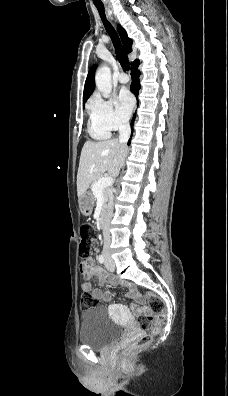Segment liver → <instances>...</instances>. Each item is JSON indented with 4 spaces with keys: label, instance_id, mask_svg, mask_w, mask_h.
<instances>
[{
    "label": "liver",
    "instance_id": "liver-1",
    "mask_svg": "<svg viewBox=\"0 0 228 396\" xmlns=\"http://www.w3.org/2000/svg\"><path fill=\"white\" fill-rule=\"evenodd\" d=\"M127 147L118 139L85 142L77 173V195L80 198L94 180L108 172L111 177L119 174L125 160Z\"/></svg>",
    "mask_w": 228,
    "mask_h": 396
}]
</instances>
